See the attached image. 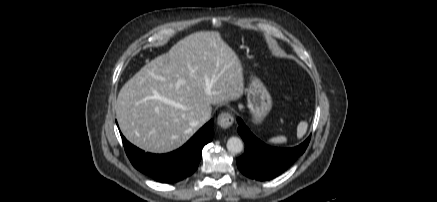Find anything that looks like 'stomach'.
I'll use <instances>...</instances> for the list:
<instances>
[{"label": "stomach", "mask_w": 437, "mask_h": 202, "mask_svg": "<svg viewBox=\"0 0 437 202\" xmlns=\"http://www.w3.org/2000/svg\"><path fill=\"white\" fill-rule=\"evenodd\" d=\"M247 93V106L252 114V121L259 124L272 108V99L263 83L253 78Z\"/></svg>", "instance_id": "obj_1"}]
</instances>
